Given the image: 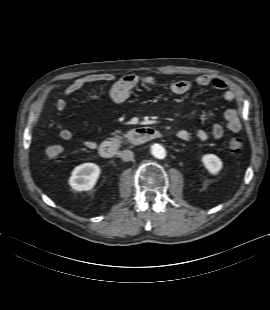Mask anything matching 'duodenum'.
Instances as JSON below:
<instances>
[{
	"label": "duodenum",
	"mask_w": 270,
	"mask_h": 310,
	"mask_svg": "<svg viewBox=\"0 0 270 310\" xmlns=\"http://www.w3.org/2000/svg\"><path fill=\"white\" fill-rule=\"evenodd\" d=\"M159 137H161V133L155 128H135L127 132L123 137H111L103 140L99 146V153L103 158H111L117 154L123 143L141 145Z\"/></svg>",
	"instance_id": "410a0bca"
}]
</instances>
